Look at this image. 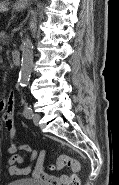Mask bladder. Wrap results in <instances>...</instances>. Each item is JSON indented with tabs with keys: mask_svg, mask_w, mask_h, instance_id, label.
<instances>
[{
	"mask_svg": "<svg viewBox=\"0 0 119 185\" xmlns=\"http://www.w3.org/2000/svg\"><path fill=\"white\" fill-rule=\"evenodd\" d=\"M7 185H44V184L36 179L24 178L11 181Z\"/></svg>",
	"mask_w": 119,
	"mask_h": 185,
	"instance_id": "1",
	"label": "bladder"
}]
</instances>
